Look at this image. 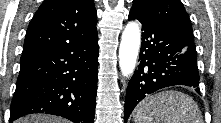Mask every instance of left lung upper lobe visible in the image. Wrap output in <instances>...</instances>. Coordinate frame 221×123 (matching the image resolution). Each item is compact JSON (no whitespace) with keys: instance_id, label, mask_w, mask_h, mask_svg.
Returning a JSON list of instances; mask_svg holds the SVG:
<instances>
[{"instance_id":"1","label":"left lung upper lobe","mask_w":221,"mask_h":123,"mask_svg":"<svg viewBox=\"0 0 221 123\" xmlns=\"http://www.w3.org/2000/svg\"><path fill=\"white\" fill-rule=\"evenodd\" d=\"M156 22L193 38L188 14L180 0H133V6Z\"/></svg>"}]
</instances>
